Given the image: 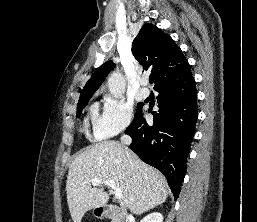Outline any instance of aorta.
<instances>
[{
    "instance_id": "1",
    "label": "aorta",
    "mask_w": 257,
    "mask_h": 222,
    "mask_svg": "<svg viewBox=\"0 0 257 222\" xmlns=\"http://www.w3.org/2000/svg\"><path fill=\"white\" fill-rule=\"evenodd\" d=\"M108 87L113 97L122 98L126 89L124 76L119 72L112 73L108 78Z\"/></svg>"
}]
</instances>
